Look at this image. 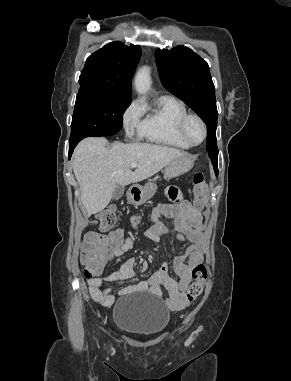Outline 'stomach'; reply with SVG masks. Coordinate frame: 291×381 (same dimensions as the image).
<instances>
[{
    "mask_svg": "<svg viewBox=\"0 0 291 381\" xmlns=\"http://www.w3.org/2000/svg\"><path fill=\"white\" fill-rule=\"evenodd\" d=\"M193 167V160L188 156H181L169 163L164 171L165 179H171L187 173ZM157 186L152 182L145 186L135 185L129 190L127 199L133 205L147 202L155 194Z\"/></svg>",
    "mask_w": 291,
    "mask_h": 381,
    "instance_id": "0dacf381",
    "label": "stomach"
}]
</instances>
